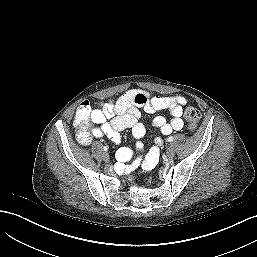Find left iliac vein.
I'll use <instances>...</instances> for the list:
<instances>
[{
  "instance_id": "obj_1",
  "label": "left iliac vein",
  "mask_w": 257,
  "mask_h": 257,
  "mask_svg": "<svg viewBox=\"0 0 257 257\" xmlns=\"http://www.w3.org/2000/svg\"><path fill=\"white\" fill-rule=\"evenodd\" d=\"M175 155V151H174V148L173 147H168L167 150H166V156L167 158H173Z\"/></svg>"
}]
</instances>
